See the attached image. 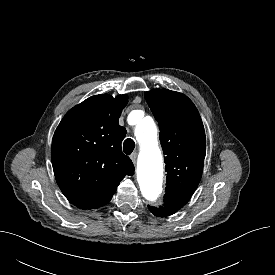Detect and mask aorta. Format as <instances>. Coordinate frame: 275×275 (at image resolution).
I'll return each mask as SVG.
<instances>
[{
  "label": "aorta",
  "mask_w": 275,
  "mask_h": 275,
  "mask_svg": "<svg viewBox=\"0 0 275 275\" xmlns=\"http://www.w3.org/2000/svg\"><path fill=\"white\" fill-rule=\"evenodd\" d=\"M144 119L137 130V137L141 143L138 182L147 202L158 206L161 204L163 161L156 144V126L152 119Z\"/></svg>",
  "instance_id": "obj_1"
}]
</instances>
